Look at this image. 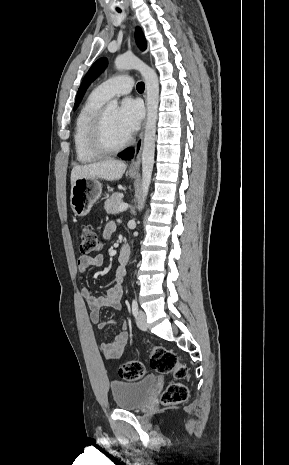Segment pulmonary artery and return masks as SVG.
Returning <instances> with one entry per match:
<instances>
[{
    "instance_id": "e3ab8cb5",
    "label": "pulmonary artery",
    "mask_w": 289,
    "mask_h": 465,
    "mask_svg": "<svg viewBox=\"0 0 289 465\" xmlns=\"http://www.w3.org/2000/svg\"><path fill=\"white\" fill-rule=\"evenodd\" d=\"M134 87L133 78L129 75H119L102 82L97 92L106 100L131 92Z\"/></svg>"
}]
</instances>
